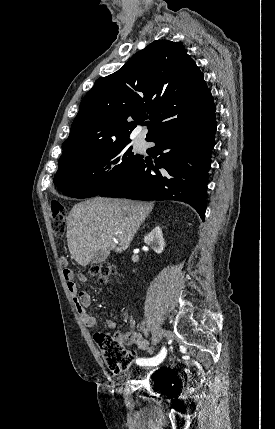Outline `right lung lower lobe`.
Wrapping results in <instances>:
<instances>
[{
    "instance_id": "obj_1",
    "label": "right lung lower lobe",
    "mask_w": 275,
    "mask_h": 429,
    "mask_svg": "<svg viewBox=\"0 0 275 429\" xmlns=\"http://www.w3.org/2000/svg\"><path fill=\"white\" fill-rule=\"evenodd\" d=\"M215 110L206 116L164 129L148 141L155 166L142 157L139 163L103 197L134 200H178L190 204L205 218L207 170L217 128ZM148 167V168H147Z\"/></svg>"
}]
</instances>
